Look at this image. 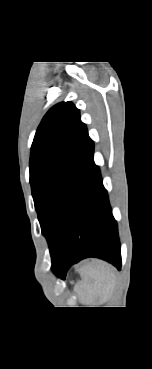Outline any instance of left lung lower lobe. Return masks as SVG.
<instances>
[{
    "label": "left lung lower lobe",
    "mask_w": 152,
    "mask_h": 369,
    "mask_svg": "<svg viewBox=\"0 0 152 369\" xmlns=\"http://www.w3.org/2000/svg\"><path fill=\"white\" fill-rule=\"evenodd\" d=\"M87 257L101 258L121 268L117 223L93 153L74 200L60 250L52 261V270L65 279L70 266Z\"/></svg>",
    "instance_id": "obj_1"
}]
</instances>
